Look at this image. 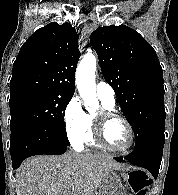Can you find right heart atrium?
<instances>
[{"label": "right heart atrium", "mask_w": 178, "mask_h": 195, "mask_svg": "<svg viewBox=\"0 0 178 195\" xmlns=\"http://www.w3.org/2000/svg\"><path fill=\"white\" fill-rule=\"evenodd\" d=\"M88 118L81 100L73 96L64 109V129L71 143L81 145L88 133Z\"/></svg>", "instance_id": "1"}]
</instances>
